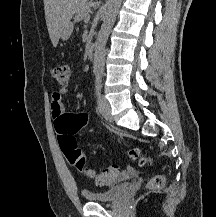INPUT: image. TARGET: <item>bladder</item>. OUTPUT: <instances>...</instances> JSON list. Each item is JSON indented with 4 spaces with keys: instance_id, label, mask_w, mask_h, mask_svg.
<instances>
[{
    "instance_id": "31cf9c89",
    "label": "bladder",
    "mask_w": 216,
    "mask_h": 217,
    "mask_svg": "<svg viewBox=\"0 0 216 217\" xmlns=\"http://www.w3.org/2000/svg\"><path fill=\"white\" fill-rule=\"evenodd\" d=\"M129 188L128 183L116 184L104 191H84L83 198L91 203H112L117 201Z\"/></svg>"
}]
</instances>
